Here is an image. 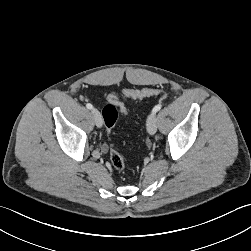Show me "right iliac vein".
<instances>
[{"label":"right iliac vein","mask_w":251,"mask_h":251,"mask_svg":"<svg viewBox=\"0 0 251 251\" xmlns=\"http://www.w3.org/2000/svg\"><path fill=\"white\" fill-rule=\"evenodd\" d=\"M92 116L97 127H102L103 121L100 112L97 109H92Z\"/></svg>","instance_id":"63e3f726"}]
</instances>
